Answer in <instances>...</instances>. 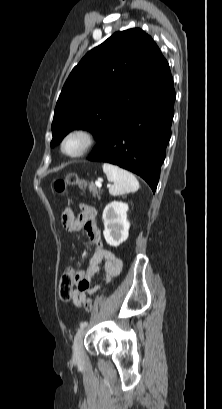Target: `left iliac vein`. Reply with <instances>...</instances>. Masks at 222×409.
Returning <instances> with one entry per match:
<instances>
[{
    "label": "left iliac vein",
    "mask_w": 222,
    "mask_h": 409,
    "mask_svg": "<svg viewBox=\"0 0 222 409\" xmlns=\"http://www.w3.org/2000/svg\"><path fill=\"white\" fill-rule=\"evenodd\" d=\"M84 334H85V329L82 328L77 332V334H76V336L74 338L73 355H74L75 359H79L82 356Z\"/></svg>",
    "instance_id": "left-iliac-vein-1"
}]
</instances>
